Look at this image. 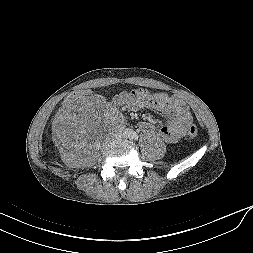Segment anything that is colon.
<instances>
[{"label": "colon", "mask_w": 253, "mask_h": 253, "mask_svg": "<svg viewBox=\"0 0 253 253\" xmlns=\"http://www.w3.org/2000/svg\"><path fill=\"white\" fill-rule=\"evenodd\" d=\"M98 91L95 88H91V89H87L84 91H78L75 92L71 95H69L65 100L64 103L66 105H69L71 103H73L74 101H76L77 99H82V98H92L93 100H96L98 98ZM187 134L190 137H196L198 134V129L195 125H191L188 130H187Z\"/></svg>", "instance_id": "5ec220e1"}]
</instances>
